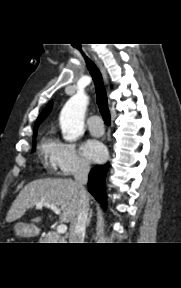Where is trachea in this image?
Masks as SVG:
<instances>
[{"label": "trachea", "instance_id": "1", "mask_svg": "<svg viewBox=\"0 0 181 288\" xmlns=\"http://www.w3.org/2000/svg\"><path fill=\"white\" fill-rule=\"evenodd\" d=\"M82 55L85 58L87 68L93 78L95 89H96V99L97 104L100 110V113L102 115V118L104 120V123L107 126H110L111 124V117L108 109V101H107V95L105 91V87L103 84L102 75L99 71V69L96 67V65L93 63L92 60H90L82 51Z\"/></svg>", "mask_w": 181, "mask_h": 288}]
</instances>
